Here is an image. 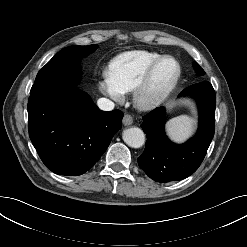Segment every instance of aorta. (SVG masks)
I'll use <instances>...</instances> for the list:
<instances>
[{
  "instance_id": "obj_1",
  "label": "aorta",
  "mask_w": 247,
  "mask_h": 247,
  "mask_svg": "<svg viewBox=\"0 0 247 247\" xmlns=\"http://www.w3.org/2000/svg\"><path fill=\"white\" fill-rule=\"evenodd\" d=\"M124 142L132 148H140L145 143V134L138 127L125 129L122 134Z\"/></svg>"
}]
</instances>
